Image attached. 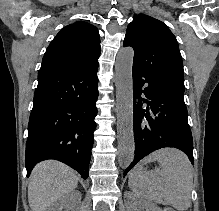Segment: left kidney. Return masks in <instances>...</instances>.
Masks as SVG:
<instances>
[{
	"mask_svg": "<svg viewBox=\"0 0 219 211\" xmlns=\"http://www.w3.org/2000/svg\"><path fill=\"white\" fill-rule=\"evenodd\" d=\"M137 211H161V207L157 205V203H149V201H146V199H138L137 201ZM133 211V209H131Z\"/></svg>",
	"mask_w": 219,
	"mask_h": 211,
	"instance_id": "left-kidney-1",
	"label": "left kidney"
}]
</instances>
